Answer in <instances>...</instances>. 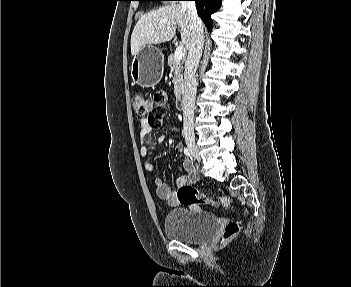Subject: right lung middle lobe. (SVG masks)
<instances>
[{"label": "right lung middle lobe", "mask_w": 351, "mask_h": 287, "mask_svg": "<svg viewBox=\"0 0 351 287\" xmlns=\"http://www.w3.org/2000/svg\"><path fill=\"white\" fill-rule=\"evenodd\" d=\"M138 1H163V0H138Z\"/></svg>", "instance_id": "1"}]
</instances>
